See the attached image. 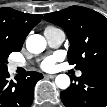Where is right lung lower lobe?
Listing matches in <instances>:
<instances>
[{
  "mask_svg": "<svg viewBox=\"0 0 107 107\" xmlns=\"http://www.w3.org/2000/svg\"><path fill=\"white\" fill-rule=\"evenodd\" d=\"M43 78L38 72H27L15 81L9 79L8 70H0V106L30 107L36 82Z\"/></svg>",
  "mask_w": 107,
  "mask_h": 107,
  "instance_id": "98d812e1",
  "label": "right lung lower lobe"
}]
</instances>
